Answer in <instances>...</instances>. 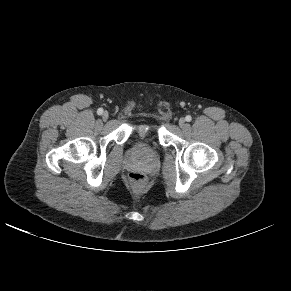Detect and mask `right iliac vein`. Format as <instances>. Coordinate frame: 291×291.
I'll list each match as a JSON object with an SVG mask.
<instances>
[{"label":"right iliac vein","mask_w":291,"mask_h":291,"mask_svg":"<svg viewBox=\"0 0 291 291\" xmlns=\"http://www.w3.org/2000/svg\"><path fill=\"white\" fill-rule=\"evenodd\" d=\"M108 117H109V115H108L107 111L102 113V118H103L104 121H106L108 119Z\"/></svg>","instance_id":"63e3f726"}]
</instances>
